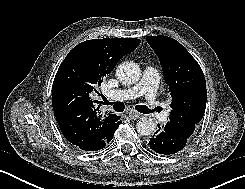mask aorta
<instances>
[{
	"mask_svg": "<svg viewBox=\"0 0 245 189\" xmlns=\"http://www.w3.org/2000/svg\"><path fill=\"white\" fill-rule=\"evenodd\" d=\"M116 76L123 84L132 85L139 81L141 70L136 63L125 61L117 67ZM154 129L155 123L150 117H143L136 124V130L141 135H150Z\"/></svg>",
	"mask_w": 245,
	"mask_h": 189,
	"instance_id": "obj_1",
	"label": "aorta"
}]
</instances>
